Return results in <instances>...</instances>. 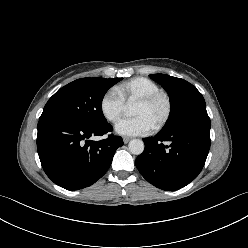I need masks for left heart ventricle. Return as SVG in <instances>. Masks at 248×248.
Returning a JSON list of instances; mask_svg holds the SVG:
<instances>
[{"label":"left heart ventricle","instance_id":"1","mask_svg":"<svg viewBox=\"0 0 248 248\" xmlns=\"http://www.w3.org/2000/svg\"><path fill=\"white\" fill-rule=\"evenodd\" d=\"M164 101H158L152 105H143L136 103L133 109L135 116H144L150 123L155 126L165 113Z\"/></svg>","mask_w":248,"mask_h":248}]
</instances>
